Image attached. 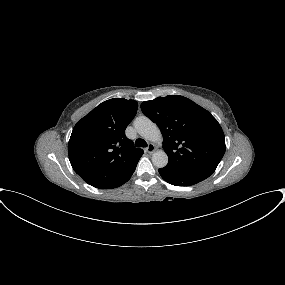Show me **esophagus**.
I'll use <instances>...</instances> for the list:
<instances>
[{
    "instance_id": "obj_1",
    "label": "esophagus",
    "mask_w": 285,
    "mask_h": 285,
    "mask_svg": "<svg viewBox=\"0 0 285 285\" xmlns=\"http://www.w3.org/2000/svg\"><path fill=\"white\" fill-rule=\"evenodd\" d=\"M146 151H147L148 153H153V152L155 151V145L152 144V143H150V144L148 145V147L146 148Z\"/></svg>"
}]
</instances>
